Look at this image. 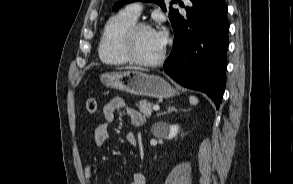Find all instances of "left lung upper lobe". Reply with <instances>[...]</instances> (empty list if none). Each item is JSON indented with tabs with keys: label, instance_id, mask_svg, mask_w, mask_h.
Masks as SVG:
<instances>
[{
	"label": "left lung upper lobe",
	"instance_id": "left-lung-upper-lobe-1",
	"mask_svg": "<svg viewBox=\"0 0 293 184\" xmlns=\"http://www.w3.org/2000/svg\"><path fill=\"white\" fill-rule=\"evenodd\" d=\"M135 1H142V2H147V1H154V0H125V1H121V2H118L116 3L114 6H113V10H117L118 8H120L121 6H123L124 4H127V3H131V2H135ZM157 4L164 10V11H167L168 9H166V6L164 4V0H156ZM169 12L171 14L170 16V20L172 21V18H173V12L174 10L172 8H169Z\"/></svg>",
	"mask_w": 293,
	"mask_h": 184
}]
</instances>
